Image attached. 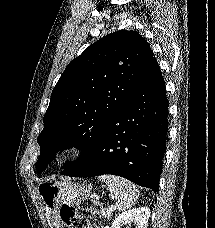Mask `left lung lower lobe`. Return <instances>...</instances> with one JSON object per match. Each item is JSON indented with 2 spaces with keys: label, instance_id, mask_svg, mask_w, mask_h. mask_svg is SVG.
I'll return each mask as SVG.
<instances>
[{
  "label": "left lung lower lobe",
  "instance_id": "0a47b994",
  "mask_svg": "<svg viewBox=\"0 0 215 228\" xmlns=\"http://www.w3.org/2000/svg\"><path fill=\"white\" fill-rule=\"evenodd\" d=\"M167 131L165 82L154 59L142 82L108 122L96 144L66 175H118L158 192Z\"/></svg>",
  "mask_w": 215,
  "mask_h": 228
}]
</instances>
